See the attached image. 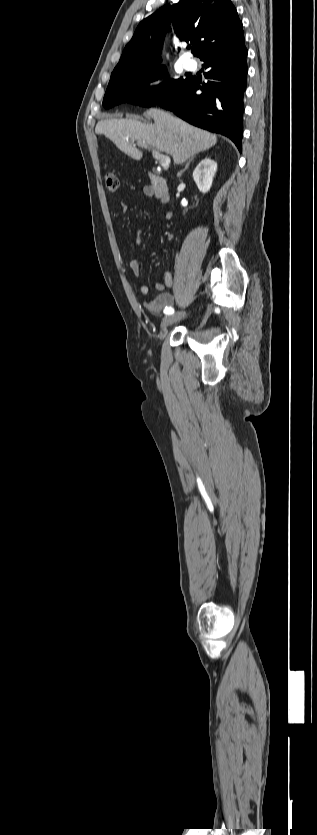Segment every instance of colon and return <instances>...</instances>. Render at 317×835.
Wrapping results in <instances>:
<instances>
[{
    "label": "colon",
    "instance_id": "obj_1",
    "mask_svg": "<svg viewBox=\"0 0 317 835\" xmlns=\"http://www.w3.org/2000/svg\"><path fill=\"white\" fill-rule=\"evenodd\" d=\"M106 187L109 191L114 192L118 189L119 180L116 174L108 173L105 176Z\"/></svg>",
    "mask_w": 317,
    "mask_h": 835
}]
</instances>
